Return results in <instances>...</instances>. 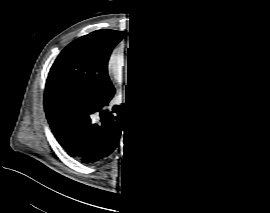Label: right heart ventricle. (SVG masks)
<instances>
[{
  "label": "right heart ventricle",
  "instance_id": "obj_1",
  "mask_svg": "<svg viewBox=\"0 0 270 213\" xmlns=\"http://www.w3.org/2000/svg\"><path fill=\"white\" fill-rule=\"evenodd\" d=\"M166 43L160 38H155L150 41V48L154 49L155 52L162 50L165 47Z\"/></svg>",
  "mask_w": 270,
  "mask_h": 213
}]
</instances>
